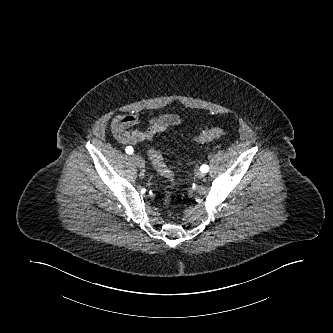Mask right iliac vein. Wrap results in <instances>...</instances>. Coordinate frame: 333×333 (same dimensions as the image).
<instances>
[{
  "mask_svg": "<svg viewBox=\"0 0 333 333\" xmlns=\"http://www.w3.org/2000/svg\"><path fill=\"white\" fill-rule=\"evenodd\" d=\"M132 158L134 159L136 165L139 167V168H144L145 166V161L143 160L142 157L140 156H137V155H132Z\"/></svg>",
  "mask_w": 333,
  "mask_h": 333,
  "instance_id": "63e3f726",
  "label": "right iliac vein"
}]
</instances>
